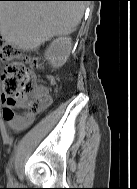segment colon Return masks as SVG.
Masks as SVG:
<instances>
[{"label":"colon","instance_id":"obj_1","mask_svg":"<svg viewBox=\"0 0 137 189\" xmlns=\"http://www.w3.org/2000/svg\"><path fill=\"white\" fill-rule=\"evenodd\" d=\"M0 59L8 61L1 78L3 97H26L28 106L38 110L40 104L35 96V82L31 75V67H36L37 62L32 60L28 64L21 60L15 47L1 37Z\"/></svg>","mask_w":137,"mask_h":189}]
</instances>
